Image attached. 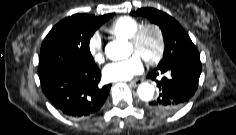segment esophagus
Masks as SVG:
<instances>
[{
	"instance_id": "obj_1",
	"label": "esophagus",
	"mask_w": 236,
	"mask_h": 135,
	"mask_svg": "<svg viewBox=\"0 0 236 135\" xmlns=\"http://www.w3.org/2000/svg\"><path fill=\"white\" fill-rule=\"evenodd\" d=\"M141 82L142 81L138 79V80L130 81L129 84L135 87V86H138Z\"/></svg>"
}]
</instances>
